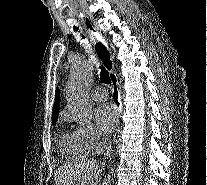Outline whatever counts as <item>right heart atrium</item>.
I'll return each instance as SVG.
<instances>
[{
    "label": "right heart atrium",
    "instance_id": "obj_1",
    "mask_svg": "<svg viewBox=\"0 0 207 185\" xmlns=\"http://www.w3.org/2000/svg\"><path fill=\"white\" fill-rule=\"evenodd\" d=\"M76 133L95 151L102 148L107 141L106 135L89 123L80 125L76 129Z\"/></svg>",
    "mask_w": 207,
    "mask_h": 185
}]
</instances>
